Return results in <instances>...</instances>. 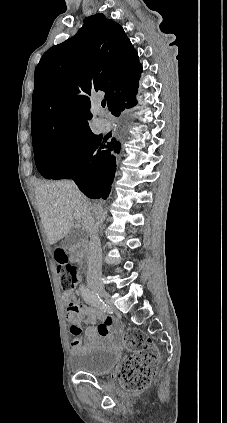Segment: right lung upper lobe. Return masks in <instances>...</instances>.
<instances>
[{"instance_id": "right-lung-upper-lobe-1", "label": "right lung upper lobe", "mask_w": 227, "mask_h": 423, "mask_svg": "<svg viewBox=\"0 0 227 423\" xmlns=\"http://www.w3.org/2000/svg\"><path fill=\"white\" fill-rule=\"evenodd\" d=\"M142 66L123 28L103 14L85 19L78 33L48 49L35 70L32 142L55 135L90 134L91 91L108 107L137 93Z\"/></svg>"}]
</instances>
